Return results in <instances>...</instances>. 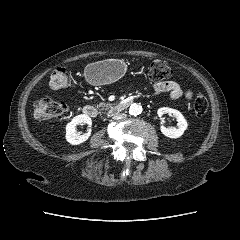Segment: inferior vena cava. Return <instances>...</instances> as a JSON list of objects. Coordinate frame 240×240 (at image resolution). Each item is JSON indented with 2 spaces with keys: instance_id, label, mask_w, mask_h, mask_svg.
Segmentation results:
<instances>
[{
  "instance_id": "obj_1",
  "label": "inferior vena cava",
  "mask_w": 240,
  "mask_h": 240,
  "mask_svg": "<svg viewBox=\"0 0 240 240\" xmlns=\"http://www.w3.org/2000/svg\"><path fill=\"white\" fill-rule=\"evenodd\" d=\"M112 118L114 120L124 119V118H126V114H124V113H114V114H112Z\"/></svg>"
}]
</instances>
